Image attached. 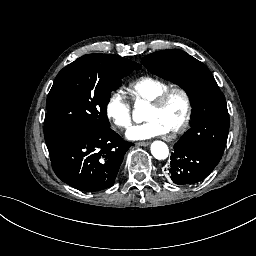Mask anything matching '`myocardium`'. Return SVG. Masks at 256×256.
Listing matches in <instances>:
<instances>
[{
	"label": "myocardium",
	"instance_id": "1",
	"mask_svg": "<svg viewBox=\"0 0 256 256\" xmlns=\"http://www.w3.org/2000/svg\"><path fill=\"white\" fill-rule=\"evenodd\" d=\"M177 95L182 103L183 109L182 112L175 116L170 122H171V128L173 130L183 126L187 120L189 119L190 116V102L189 99L185 93V91L181 88H173L170 92H166L162 94L153 104H151L147 109L146 113L149 114V111H160L169 102L170 98L173 95Z\"/></svg>",
	"mask_w": 256,
	"mask_h": 256
}]
</instances>
